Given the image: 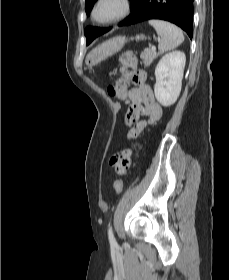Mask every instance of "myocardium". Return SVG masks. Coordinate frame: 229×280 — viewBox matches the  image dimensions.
<instances>
[{
  "label": "myocardium",
  "instance_id": "f54148a6",
  "mask_svg": "<svg viewBox=\"0 0 229 280\" xmlns=\"http://www.w3.org/2000/svg\"><path fill=\"white\" fill-rule=\"evenodd\" d=\"M107 2L118 3L119 8L115 13L109 15L108 17L99 18L97 12L100 9V7ZM132 9H133V3L131 0H96V2L94 3L91 9L90 17L95 24L104 26V25L116 23L126 18L127 16L130 15Z\"/></svg>",
  "mask_w": 229,
  "mask_h": 280
}]
</instances>
